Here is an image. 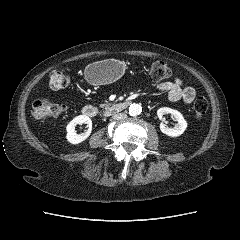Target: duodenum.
Returning <instances> with one entry per match:
<instances>
[{
    "label": "duodenum",
    "mask_w": 240,
    "mask_h": 240,
    "mask_svg": "<svg viewBox=\"0 0 240 240\" xmlns=\"http://www.w3.org/2000/svg\"><path fill=\"white\" fill-rule=\"evenodd\" d=\"M130 101H121V102H116L108 105L105 110L103 111V114L106 116L112 115L114 113L121 112L125 110L129 105ZM82 114L87 117H95L98 114L97 109L92 106V105H85L82 108Z\"/></svg>",
    "instance_id": "obj_1"
}]
</instances>
